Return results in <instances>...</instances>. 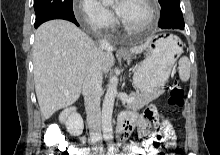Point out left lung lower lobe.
Wrapping results in <instances>:
<instances>
[{
	"label": "left lung lower lobe",
	"mask_w": 220,
	"mask_h": 155,
	"mask_svg": "<svg viewBox=\"0 0 220 155\" xmlns=\"http://www.w3.org/2000/svg\"><path fill=\"white\" fill-rule=\"evenodd\" d=\"M159 27L162 29L184 28V19L180 4L167 5L161 8Z\"/></svg>",
	"instance_id": "0a47b994"
}]
</instances>
